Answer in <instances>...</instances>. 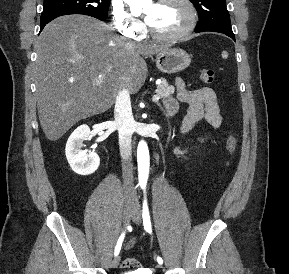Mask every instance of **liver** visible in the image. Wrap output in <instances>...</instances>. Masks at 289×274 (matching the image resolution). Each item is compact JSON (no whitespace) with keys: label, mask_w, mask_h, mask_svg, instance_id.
<instances>
[{"label":"liver","mask_w":289,"mask_h":274,"mask_svg":"<svg viewBox=\"0 0 289 274\" xmlns=\"http://www.w3.org/2000/svg\"><path fill=\"white\" fill-rule=\"evenodd\" d=\"M35 48L39 120L56 141L78 121L110 109L122 88L139 91L148 73L141 55L167 47L130 42L97 19L67 15L46 25Z\"/></svg>","instance_id":"6515ba94"}]
</instances>
